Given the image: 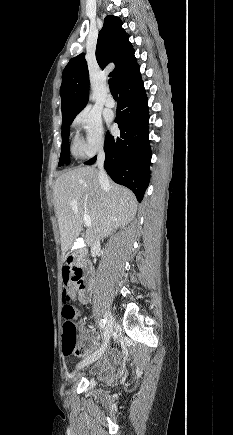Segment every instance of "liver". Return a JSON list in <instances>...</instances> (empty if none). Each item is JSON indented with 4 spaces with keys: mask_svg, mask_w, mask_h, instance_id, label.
<instances>
[{
    "mask_svg": "<svg viewBox=\"0 0 233 435\" xmlns=\"http://www.w3.org/2000/svg\"><path fill=\"white\" fill-rule=\"evenodd\" d=\"M54 209L65 254L79 237L83 216L91 228L83 235L88 247L108 237L114 229L133 220L137 211L135 195L109 178L101 181L94 167H78L61 174L54 184Z\"/></svg>",
    "mask_w": 233,
    "mask_h": 435,
    "instance_id": "1",
    "label": "liver"
}]
</instances>
